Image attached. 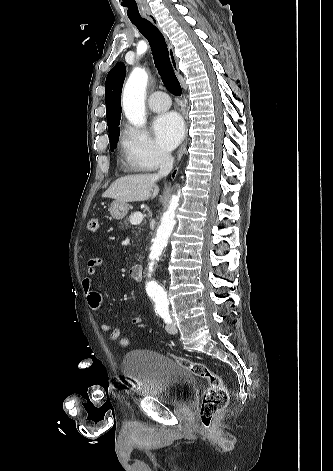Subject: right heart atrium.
<instances>
[{
  "instance_id": "right-heart-atrium-1",
  "label": "right heart atrium",
  "mask_w": 333,
  "mask_h": 471,
  "mask_svg": "<svg viewBox=\"0 0 333 471\" xmlns=\"http://www.w3.org/2000/svg\"><path fill=\"white\" fill-rule=\"evenodd\" d=\"M120 144L127 163L138 171H154L169 163L171 159L170 154L161 148L144 128L124 126Z\"/></svg>"
}]
</instances>
